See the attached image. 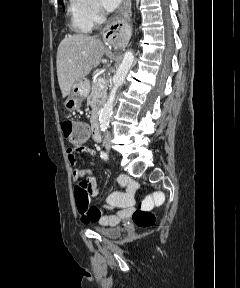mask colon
I'll use <instances>...</instances> for the list:
<instances>
[{"mask_svg": "<svg viewBox=\"0 0 240 288\" xmlns=\"http://www.w3.org/2000/svg\"><path fill=\"white\" fill-rule=\"evenodd\" d=\"M62 132L65 138L73 143H79L85 140L86 130L84 125L77 123L72 120H65L61 124ZM132 219L134 224L140 229H146L154 225L156 221V216L152 211L137 209L133 215Z\"/></svg>", "mask_w": 240, "mask_h": 288, "instance_id": "obj_1", "label": "colon"}]
</instances>
